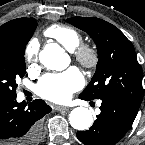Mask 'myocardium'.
Returning <instances> with one entry per match:
<instances>
[{
  "instance_id": "f54148a6",
  "label": "myocardium",
  "mask_w": 145,
  "mask_h": 145,
  "mask_svg": "<svg viewBox=\"0 0 145 145\" xmlns=\"http://www.w3.org/2000/svg\"><path fill=\"white\" fill-rule=\"evenodd\" d=\"M75 59L85 68L94 69L99 62V51L91 43H80L74 50Z\"/></svg>"
}]
</instances>
